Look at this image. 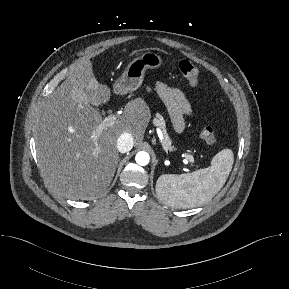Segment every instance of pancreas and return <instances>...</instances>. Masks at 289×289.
<instances>
[{"label": "pancreas", "instance_id": "cf45deb5", "mask_svg": "<svg viewBox=\"0 0 289 289\" xmlns=\"http://www.w3.org/2000/svg\"><path fill=\"white\" fill-rule=\"evenodd\" d=\"M153 123L156 126L160 127L162 129V131H163V148L165 150H173V147L171 145V140H170V138H169V136L167 134V131H166V124H165V120L163 119V117L160 116V115L157 116L154 119Z\"/></svg>", "mask_w": 289, "mask_h": 289}]
</instances>
